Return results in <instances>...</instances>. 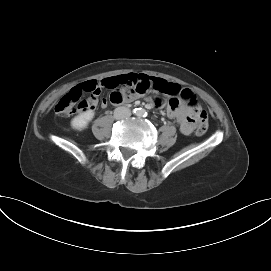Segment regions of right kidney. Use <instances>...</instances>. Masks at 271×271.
<instances>
[{"mask_svg": "<svg viewBox=\"0 0 271 271\" xmlns=\"http://www.w3.org/2000/svg\"><path fill=\"white\" fill-rule=\"evenodd\" d=\"M94 112L87 110L78 116L74 117L71 121V126L76 130H83L87 127L89 122L93 119Z\"/></svg>", "mask_w": 271, "mask_h": 271, "instance_id": "1", "label": "right kidney"}]
</instances>
